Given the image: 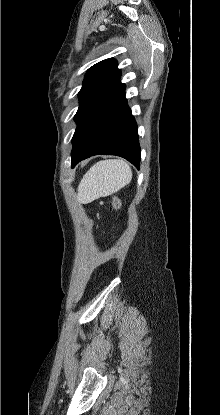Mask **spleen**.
<instances>
[{
  "instance_id": "3e777b00",
  "label": "spleen",
  "mask_w": 220,
  "mask_h": 415,
  "mask_svg": "<svg viewBox=\"0 0 220 415\" xmlns=\"http://www.w3.org/2000/svg\"><path fill=\"white\" fill-rule=\"evenodd\" d=\"M132 179L129 164L122 159L102 160L94 164L83 176L78 186L77 200L90 203L109 196L126 186Z\"/></svg>"
}]
</instances>
